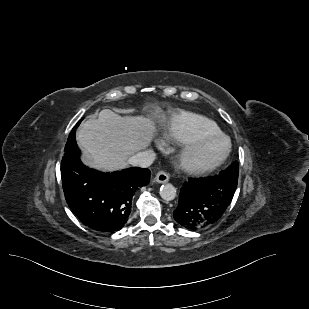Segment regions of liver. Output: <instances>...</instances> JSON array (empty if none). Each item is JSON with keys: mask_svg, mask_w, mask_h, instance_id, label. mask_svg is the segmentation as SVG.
Masks as SVG:
<instances>
[{"mask_svg": "<svg viewBox=\"0 0 309 309\" xmlns=\"http://www.w3.org/2000/svg\"><path fill=\"white\" fill-rule=\"evenodd\" d=\"M153 117L120 116L109 109L85 121L77 141L85 154L83 162L98 170L114 171L127 166V159L148 147L156 135Z\"/></svg>", "mask_w": 309, "mask_h": 309, "instance_id": "liver-1", "label": "liver"}]
</instances>
